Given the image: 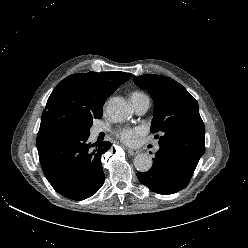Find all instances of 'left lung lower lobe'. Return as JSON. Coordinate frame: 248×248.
<instances>
[{"label": "left lung lower lobe", "mask_w": 248, "mask_h": 248, "mask_svg": "<svg viewBox=\"0 0 248 248\" xmlns=\"http://www.w3.org/2000/svg\"><path fill=\"white\" fill-rule=\"evenodd\" d=\"M196 168L176 153L160 148L147 172H138L141 183L159 194H173L185 188Z\"/></svg>", "instance_id": "1"}]
</instances>
